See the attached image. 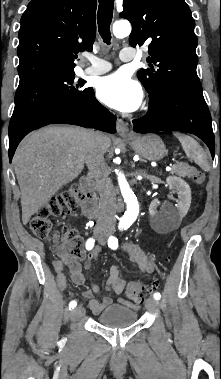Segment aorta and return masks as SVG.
<instances>
[{
	"instance_id": "aorta-1",
	"label": "aorta",
	"mask_w": 221,
	"mask_h": 379,
	"mask_svg": "<svg viewBox=\"0 0 221 379\" xmlns=\"http://www.w3.org/2000/svg\"><path fill=\"white\" fill-rule=\"evenodd\" d=\"M131 33V25L127 21L115 22L113 25V34L117 38H123ZM118 176V184L120 187L121 194L127 205V210L125 211L123 217L121 218L120 225L122 227L130 226L139 214V204L137 198L130 188L125 175L120 171L116 170Z\"/></svg>"
}]
</instances>
